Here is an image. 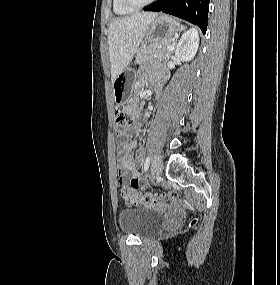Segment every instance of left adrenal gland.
I'll return each mask as SVG.
<instances>
[{"label":"left adrenal gland","mask_w":280,"mask_h":285,"mask_svg":"<svg viewBox=\"0 0 280 285\" xmlns=\"http://www.w3.org/2000/svg\"><path fill=\"white\" fill-rule=\"evenodd\" d=\"M185 29H186V27H185L184 25H181V26H180V32H181V31H184ZM178 37H179V36H177V38H176V40H175V42H174V49H173L172 53L175 51V48H176L175 45H176V43H177Z\"/></svg>","instance_id":"left-adrenal-gland-1"}]
</instances>
